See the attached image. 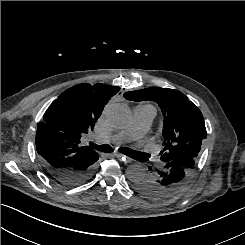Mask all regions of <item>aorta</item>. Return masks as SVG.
Here are the masks:
<instances>
[{
    "mask_svg": "<svg viewBox=\"0 0 245 245\" xmlns=\"http://www.w3.org/2000/svg\"><path fill=\"white\" fill-rule=\"evenodd\" d=\"M104 117L106 122L117 129L125 127L131 118L129 107L123 103H110L105 107ZM146 175V170L140 165H130L126 170L127 178L135 182Z\"/></svg>",
    "mask_w": 245,
    "mask_h": 245,
    "instance_id": "762f6f07",
    "label": "aorta"
}]
</instances>
